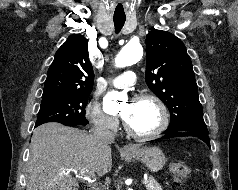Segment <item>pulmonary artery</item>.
<instances>
[{"instance_id":"e3ab8cb5","label":"pulmonary artery","mask_w":238,"mask_h":190,"mask_svg":"<svg viewBox=\"0 0 238 190\" xmlns=\"http://www.w3.org/2000/svg\"><path fill=\"white\" fill-rule=\"evenodd\" d=\"M136 82V74L133 71H126L119 77L115 78L113 85L116 88L123 89L134 85Z\"/></svg>"}]
</instances>
